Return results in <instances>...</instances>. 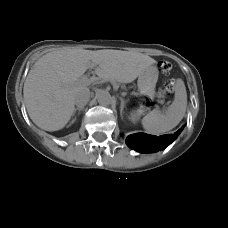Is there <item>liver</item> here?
Segmentation results:
<instances>
[{"label":"liver","instance_id":"6515ba94","mask_svg":"<svg viewBox=\"0 0 228 228\" xmlns=\"http://www.w3.org/2000/svg\"><path fill=\"white\" fill-rule=\"evenodd\" d=\"M155 60L141 53L121 50L67 49L50 52L31 68L23 88L31 120L41 129H63L74 112V94L89 89L78 83L89 68L103 81L131 83Z\"/></svg>","mask_w":228,"mask_h":228}]
</instances>
